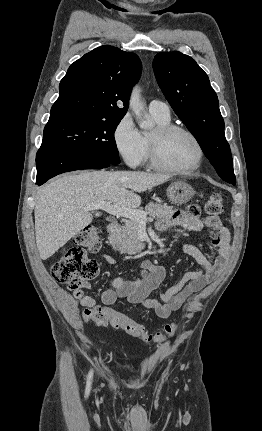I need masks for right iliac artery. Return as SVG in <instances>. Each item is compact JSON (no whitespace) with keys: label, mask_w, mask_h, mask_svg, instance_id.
Instances as JSON below:
<instances>
[{"label":"right iliac artery","mask_w":262,"mask_h":431,"mask_svg":"<svg viewBox=\"0 0 262 431\" xmlns=\"http://www.w3.org/2000/svg\"><path fill=\"white\" fill-rule=\"evenodd\" d=\"M91 379H92V371H90L89 375H88V382H87V388H86V395H88L89 390H90V383H91Z\"/></svg>","instance_id":"right-iliac-artery-1"}]
</instances>
